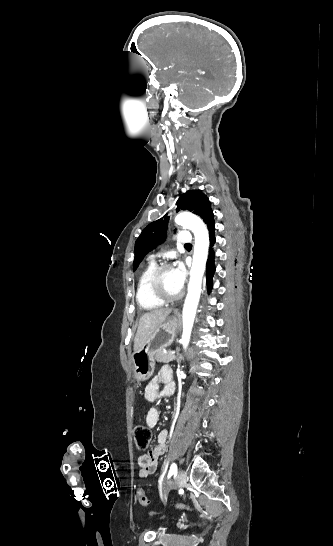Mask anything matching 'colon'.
<instances>
[{
    "mask_svg": "<svg viewBox=\"0 0 333 546\" xmlns=\"http://www.w3.org/2000/svg\"><path fill=\"white\" fill-rule=\"evenodd\" d=\"M151 437H152V434L148 427L144 425H138L134 428V442L138 450L143 451L147 449L149 446ZM137 499L142 506L147 507L149 505V501L143 489H139L137 491ZM175 506L178 509L190 510L188 506L181 503H177L175 504Z\"/></svg>",
    "mask_w": 333,
    "mask_h": 546,
    "instance_id": "1",
    "label": "colon"
}]
</instances>
